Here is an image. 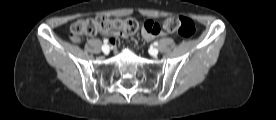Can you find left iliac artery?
<instances>
[{
  "mask_svg": "<svg viewBox=\"0 0 276 120\" xmlns=\"http://www.w3.org/2000/svg\"><path fill=\"white\" fill-rule=\"evenodd\" d=\"M153 44H154V46H158V42L157 41H155Z\"/></svg>",
  "mask_w": 276,
  "mask_h": 120,
  "instance_id": "1",
  "label": "left iliac artery"
}]
</instances>
